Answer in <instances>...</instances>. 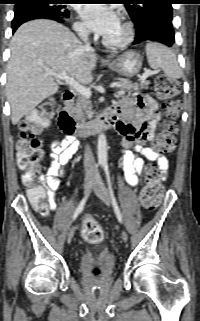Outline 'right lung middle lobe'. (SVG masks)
<instances>
[{
    "label": "right lung middle lobe",
    "mask_w": 200,
    "mask_h": 321,
    "mask_svg": "<svg viewBox=\"0 0 200 321\" xmlns=\"http://www.w3.org/2000/svg\"><path fill=\"white\" fill-rule=\"evenodd\" d=\"M68 2L69 0H24L16 4L15 12L26 9H40L68 19L70 12L65 5Z\"/></svg>",
    "instance_id": "dd1d6c3e"
}]
</instances>
